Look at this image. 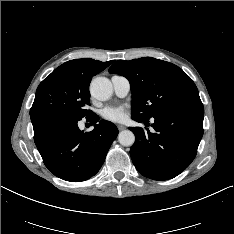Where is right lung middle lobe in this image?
<instances>
[{
    "instance_id": "1",
    "label": "right lung middle lobe",
    "mask_w": 234,
    "mask_h": 234,
    "mask_svg": "<svg viewBox=\"0 0 234 234\" xmlns=\"http://www.w3.org/2000/svg\"><path fill=\"white\" fill-rule=\"evenodd\" d=\"M88 84L65 72H52L38 86L30 115L39 112H61L76 118L93 112Z\"/></svg>"
}]
</instances>
